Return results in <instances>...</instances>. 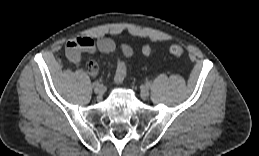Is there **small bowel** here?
Segmentation results:
<instances>
[{"label": "small bowel", "instance_id": "obj_1", "mask_svg": "<svg viewBox=\"0 0 259 156\" xmlns=\"http://www.w3.org/2000/svg\"><path fill=\"white\" fill-rule=\"evenodd\" d=\"M121 49L126 57H130L132 55V50L129 46L122 45ZM115 51V42L107 37L99 38L97 40L90 37H77L69 40L66 44V55L74 64H78L80 62L82 52H86L88 54L101 52L110 56L114 54ZM87 72L91 76H96L98 73V65L93 61L89 62L87 64Z\"/></svg>", "mask_w": 259, "mask_h": 156}]
</instances>
